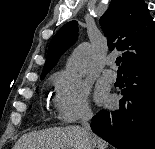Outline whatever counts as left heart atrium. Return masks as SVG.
<instances>
[{
	"label": "left heart atrium",
	"mask_w": 155,
	"mask_h": 149,
	"mask_svg": "<svg viewBox=\"0 0 155 149\" xmlns=\"http://www.w3.org/2000/svg\"><path fill=\"white\" fill-rule=\"evenodd\" d=\"M96 98L98 101H104L106 99V96H105L104 92L98 90L97 94H96Z\"/></svg>",
	"instance_id": "left-heart-atrium-1"
}]
</instances>
